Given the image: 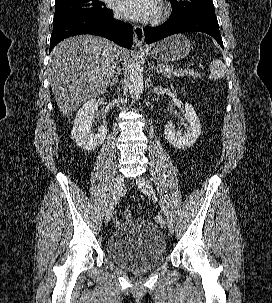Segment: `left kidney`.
<instances>
[{
	"mask_svg": "<svg viewBox=\"0 0 272 303\" xmlns=\"http://www.w3.org/2000/svg\"><path fill=\"white\" fill-rule=\"evenodd\" d=\"M184 117L188 124L186 133L182 134L180 131H176L172 121H167L164 130L168 142L179 149L193 146L201 133L200 120L189 103H185Z\"/></svg>",
	"mask_w": 272,
	"mask_h": 303,
	"instance_id": "1",
	"label": "left kidney"
}]
</instances>
